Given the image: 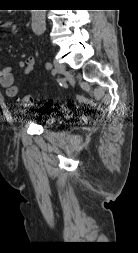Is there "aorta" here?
Here are the masks:
<instances>
[{"label":"aorta","mask_w":138,"mask_h":253,"mask_svg":"<svg viewBox=\"0 0 138 253\" xmlns=\"http://www.w3.org/2000/svg\"><path fill=\"white\" fill-rule=\"evenodd\" d=\"M46 10H32V30L36 35H41L46 29Z\"/></svg>","instance_id":"762f6f07"}]
</instances>
